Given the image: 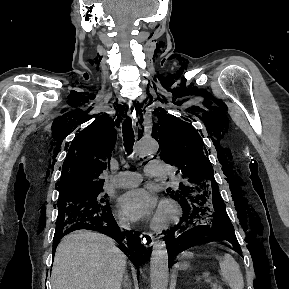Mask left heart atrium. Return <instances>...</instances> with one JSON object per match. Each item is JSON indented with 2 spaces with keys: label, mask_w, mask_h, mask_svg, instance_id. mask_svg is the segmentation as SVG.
<instances>
[{
  "label": "left heart atrium",
  "mask_w": 289,
  "mask_h": 289,
  "mask_svg": "<svg viewBox=\"0 0 289 289\" xmlns=\"http://www.w3.org/2000/svg\"><path fill=\"white\" fill-rule=\"evenodd\" d=\"M118 206L128 218L139 220L154 214L156 197L151 189L137 188L120 195Z\"/></svg>",
  "instance_id": "39dd6f15"
}]
</instances>
